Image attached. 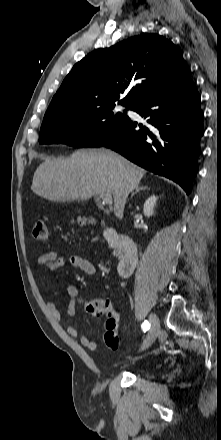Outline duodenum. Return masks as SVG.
I'll return each instance as SVG.
<instances>
[{"instance_id": "410a0bca", "label": "duodenum", "mask_w": 221, "mask_h": 440, "mask_svg": "<svg viewBox=\"0 0 221 440\" xmlns=\"http://www.w3.org/2000/svg\"><path fill=\"white\" fill-rule=\"evenodd\" d=\"M104 236L121 251V258L117 266L118 274L123 278L128 277L132 273L138 259L134 241L129 235L121 234L112 227L105 228Z\"/></svg>"}]
</instances>
